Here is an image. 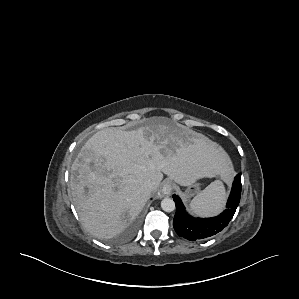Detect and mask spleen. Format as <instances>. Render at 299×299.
Returning a JSON list of instances; mask_svg holds the SVG:
<instances>
[{"label": "spleen", "mask_w": 299, "mask_h": 299, "mask_svg": "<svg viewBox=\"0 0 299 299\" xmlns=\"http://www.w3.org/2000/svg\"><path fill=\"white\" fill-rule=\"evenodd\" d=\"M225 199L224 185L220 180H216L192 199L190 209L199 216H213L223 209Z\"/></svg>", "instance_id": "spleen-1"}]
</instances>
